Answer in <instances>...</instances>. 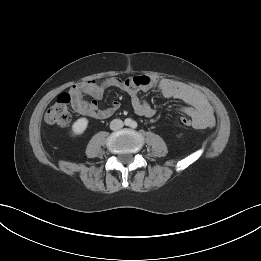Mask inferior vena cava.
Returning <instances> with one entry per match:
<instances>
[{"label": "inferior vena cava", "instance_id": "obj_1", "mask_svg": "<svg viewBox=\"0 0 261 261\" xmlns=\"http://www.w3.org/2000/svg\"><path fill=\"white\" fill-rule=\"evenodd\" d=\"M123 126H124L123 121L120 119H114L110 123V129L114 131L121 129Z\"/></svg>", "mask_w": 261, "mask_h": 261}]
</instances>
